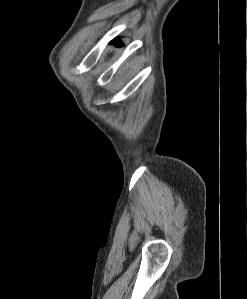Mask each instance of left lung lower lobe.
<instances>
[{
    "mask_svg": "<svg viewBox=\"0 0 247 299\" xmlns=\"http://www.w3.org/2000/svg\"><path fill=\"white\" fill-rule=\"evenodd\" d=\"M110 44H114V45H116V46H118V47H121V46H122L121 41L118 40V39H114L113 41L110 42Z\"/></svg>",
    "mask_w": 247,
    "mask_h": 299,
    "instance_id": "left-lung-lower-lobe-1",
    "label": "left lung lower lobe"
}]
</instances>
